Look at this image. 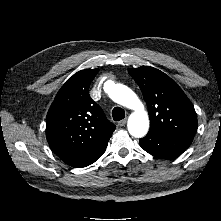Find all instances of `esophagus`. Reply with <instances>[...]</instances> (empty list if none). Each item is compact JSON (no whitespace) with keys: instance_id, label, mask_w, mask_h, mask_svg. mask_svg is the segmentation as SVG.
I'll return each instance as SVG.
<instances>
[{"instance_id":"obj_1","label":"esophagus","mask_w":221,"mask_h":221,"mask_svg":"<svg viewBox=\"0 0 221 221\" xmlns=\"http://www.w3.org/2000/svg\"><path fill=\"white\" fill-rule=\"evenodd\" d=\"M126 123H127V119L125 118V119H123V120H120V121L118 122V125H119V126H124Z\"/></svg>"}]
</instances>
